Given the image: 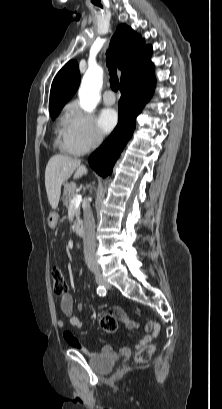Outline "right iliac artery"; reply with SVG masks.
Returning a JSON list of instances; mask_svg holds the SVG:
<instances>
[{"label":"right iliac artery","mask_w":222,"mask_h":409,"mask_svg":"<svg viewBox=\"0 0 222 409\" xmlns=\"http://www.w3.org/2000/svg\"><path fill=\"white\" fill-rule=\"evenodd\" d=\"M97 294H98L99 296H105V295H106V289H105V287H104V286H99V287L97 288Z\"/></svg>","instance_id":"1"}]
</instances>
